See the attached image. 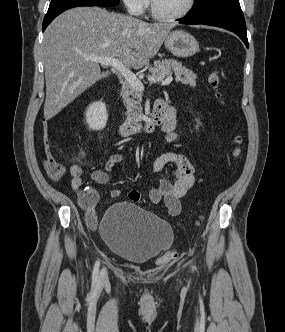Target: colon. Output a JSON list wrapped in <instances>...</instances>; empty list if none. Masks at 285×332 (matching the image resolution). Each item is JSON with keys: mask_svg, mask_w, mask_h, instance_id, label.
<instances>
[{"mask_svg": "<svg viewBox=\"0 0 285 332\" xmlns=\"http://www.w3.org/2000/svg\"><path fill=\"white\" fill-rule=\"evenodd\" d=\"M208 82L209 85L212 87L213 90L218 92L219 85H220V77L217 71H212L209 76H208ZM219 96V95H218ZM242 143V139L240 136H236L234 138V148L232 150V155L237 158L241 154V148L240 145ZM45 169L48 173V175L53 179V180H60L64 174H65V168L64 166L57 162L55 159L52 157H49L45 161ZM176 256V251L175 250H168L166 251L160 258V263H166L172 258Z\"/></svg>", "mask_w": 285, "mask_h": 332, "instance_id": "5ec220e1", "label": "colon"}]
</instances>
